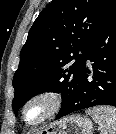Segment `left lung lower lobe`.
Segmentation results:
<instances>
[{"label":"left lung lower lobe","instance_id":"left-lung-lower-lobe-1","mask_svg":"<svg viewBox=\"0 0 116 134\" xmlns=\"http://www.w3.org/2000/svg\"><path fill=\"white\" fill-rule=\"evenodd\" d=\"M87 60L93 62L92 71L85 67ZM98 105L116 107V2L88 45L75 96L56 119Z\"/></svg>","mask_w":116,"mask_h":134}]
</instances>
